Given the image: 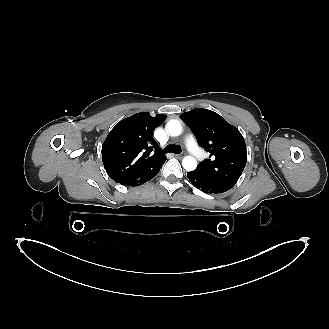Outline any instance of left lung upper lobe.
Masks as SVG:
<instances>
[{"label":"left lung upper lobe","instance_id":"5c2ea615","mask_svg":"<svg viewBox=\"0 0 329 329\" xmlns=\"http://www.w3.org/2000/svg\"><path fill=\"white\" fill-rule=\"evenodd\" d=\"M191 127L198 144L210 153L193 171L207 181L230 190L241 176L247 152L243 136L219 114L208 109H193L181 114Z\"/></svg>","mask_w":329,"mask_h":329}]
</instances>
